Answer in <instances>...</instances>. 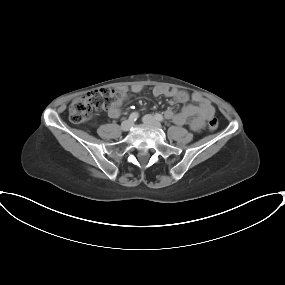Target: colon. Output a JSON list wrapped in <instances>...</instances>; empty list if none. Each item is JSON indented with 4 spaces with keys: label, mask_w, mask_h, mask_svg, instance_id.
<instances>
[{
    "label": "colon",
    "mask_w": 285,
    "mask_h": 285,
    "mask_svg": "<svg viewBox=\"0 0 285 285\" xmlns=\"http://www.w3.org/2000/svg\"><path fill=\"white\" fill-rule=\"evenodd\" d=\"M123 93L121 90L111 88H102L95 91L87 92L75 99L68 110L69 119L75 124L87 122L95 112L109 109L114 103L121 101ZM219 121L212 117L208 121V127L216 130Z\"/></svg>",
    "instance_id": "5ec220e1"
}]
</instances>
